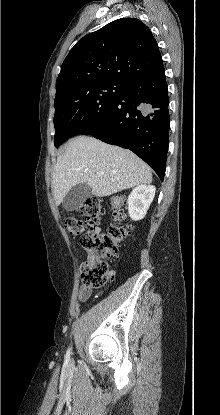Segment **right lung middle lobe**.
<instances>
[{"instance_id": "right-lung-middle-lobe-1", "label": "right lung middle lobe", "mask_w": 220, "mask_h": 415, "mask_svg": "<svg viewBox=\"0 0 220 415\" xmlns=\"http://www.w3.org/2000/svg\"><path fill=\"white\" fill-rule=\"evenodd\" d=\"M126 83L102 81L80 83L56 94L55 146L75 135H90L107 120Z\"/></svg>"}]
</instances>
